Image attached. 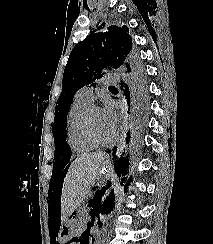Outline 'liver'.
<instances>
[{"label":"liver","instance_id":"1","mask_svg":"<svg viewBox=\"0 0 213 244\" xmlns=\"http://www.w3.org/2000/svg\"><path fill=\"white\" fill-rule=\"evenodd\" d=\"M106 154L96 152L83 154L70 165L61 193V215L64 222L90 192L95 183L99 167Z\"/></svg>","mask_w":213,"mask_h":244}]
</instances>
